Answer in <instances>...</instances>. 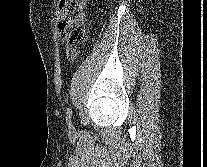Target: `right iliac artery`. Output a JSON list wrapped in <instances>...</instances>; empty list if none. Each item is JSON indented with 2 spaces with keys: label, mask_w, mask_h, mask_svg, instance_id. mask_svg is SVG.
Returning a JSON list of instances; mask_svg holds the SVG:
<instances>
[{
  "label": "right iliac artery",
  "mask_w": 207,
  "mask_h": 167,
  "mask_svg": "<svg viewBox=\"0 0 207 167\" xmlns=\"http://www.w3.org/2000/svg\"><path fill=\"white\" fill-rule=\"evenodd\" d=\"M71 117H72V110L71 108H68L66 112V120L69 128L71 127Z\"/></svg>",
  "instance_id": "82829eb1"
}]
</instances>
